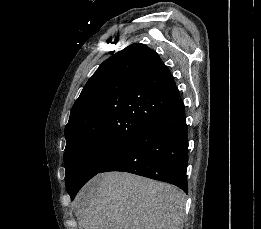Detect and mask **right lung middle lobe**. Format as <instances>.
<instances>
[{
	"mask_svg": "<svg viewBox=\"0 0 261 229\" xmlns=\"http://www.w3.org/2000/svg\"><path fill=\"white\" fill-rule=\"evenodd\" d=\"M130 144L83 140L67 145L65 183L73 200L81 187L123 153Z\"/></svg>",
	"mask_w": 261,
	"mask_h": 229,
	"instance_id": "right-lung-middle-lobe-1",
	"label": "right lung middle lobe"
}]
</instances>
